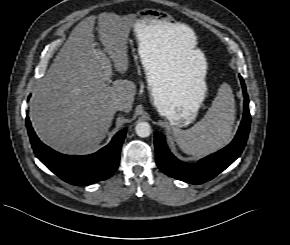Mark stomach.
I'll list each match as a JSON object with an SVG mask.
<instances>
[{"label":"stomach","mask_w":290,"mask_h":245,"mask_svg":"<svg viewBox=\"0 0 290 245\" xmlns=\"http://www.w3.org/2000/svg\"><path fill=\"white\" fill-rule=\"evenodd\" d=\"M166 24L171 23L160 11L145 9L133 27L153 104L172 126L182 128L194 122L206 97L207 66L202 53L193 55L190 66L177 59L164 36Z\"/></svg>","instance_id":"obj_1"}]
</instances>
